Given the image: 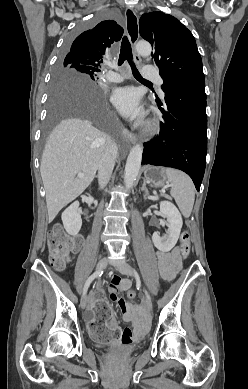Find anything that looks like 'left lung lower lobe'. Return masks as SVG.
Here are the masks:
<instances>
[{
  "label": "left lung lower lobe",
  "mask_w": 248,
  "mask_h": 389,
  "mask_svg": "<svg viewBox=\"0 0 248 389\" xmlns=\"http://www.w3.org/2000/svg\"><path fill=\"white\" fill-rule=\"evenodd\" d=\"M165 123L160 135L144 144L142 164L186 172L197 191L204 176L207 154V115L204 77L184 79L165 92Z\"/></svg>",
  "instance_id": "0a47b994"
}]
</instances>
